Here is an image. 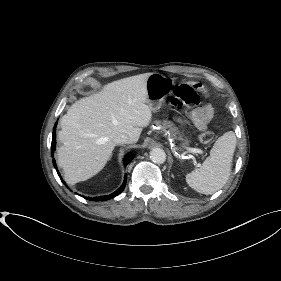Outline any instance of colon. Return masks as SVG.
<instances>
[{"label":"colon","mask_w":281,"mask_h":281,"mask_svg":"<svg viewBox=\"0 0 281 281\" xmlns=\"http://www.w3.org/2000/svg\"><path fill=\"white\" fill-rule=\"evenodd\" d=\"M202 98H207V91L200 83L181 84L175 90V98L171 100L174 106L182 104H198ZM214 139L211 131H205L200 136V141L204 144L210 143Z\"/></svg>","instance_id":"obj_1"}]
</instances>
